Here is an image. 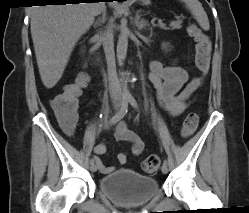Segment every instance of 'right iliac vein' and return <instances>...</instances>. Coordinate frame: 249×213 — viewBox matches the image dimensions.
Masks as SVG:
<instances>
[{"label": "right iliac vein", "mask_w": 249, "mask_h": 213, "mask_svg": "<svg viewBox=\"0 0 249 213\" xmlns=\"http://www.w3.org/2000/svg\"><path fill=\"white\" fill-rule=\"evenodd\" d=\"M97 168H98L97 165L94 164V163L90 165V170H91L92 172H96V171H97Z\"/></svg>", "instance_id": "1"}]
</instances>
